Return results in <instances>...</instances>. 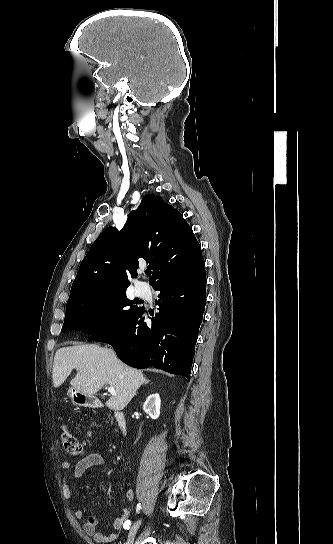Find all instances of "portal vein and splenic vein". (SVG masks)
Masks as SVG:
<instances>
[{
    "label": "portal vein and splenic vein",
    "instance_id": "18ae733b",
    "mask_svg": "<svg viewBox=\"0 0 333 544\" xmlns=\"http://www.w3.org/2000/svg\"><path fill=\"white\" fill-rule=\"evenodd\" d=\"M108 392H110L112 395H115V390L113 387H108Z\"/></svg>",
    "mask_w": 333,
    "mask_h": 544
}]
</instances>
